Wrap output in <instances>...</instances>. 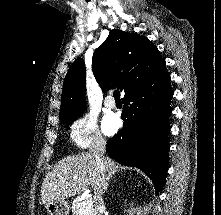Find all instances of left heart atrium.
<instances>
[{
    "mask_svg": "<svg viewBox=\"0 0 221 215\" xmlns=\"http://www.w3.org/2000/svg\"><path fill=\"white\" fill-rule=\"evenodd\" d=\"M120 126V121L113 115L107 116L103 121V129L106 133H114Z\"/></svg>",
    "mask_w": 221,
    "mask_h": 215,
    "instance_id": "39dd6f15",
    "label": "left heart atrium"
}]
</instances>
